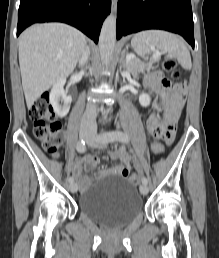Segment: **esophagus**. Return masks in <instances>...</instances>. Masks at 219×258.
<instances>
[{
    "instance_id": "1",
    "label": "esophagus",
    "mask_w": 219,
    "mask_h": 258,
    "mask_svg": "<svg viewBox=\"0 0 219 258\" xmlns=\"http://www.w3.org/2000/svg\"><path fill=\"white\" fill-rule=\"evenodd\" d=\"M112 11L115 12L117 9V0H112Z\"/></svg>"
}]
</instances>
